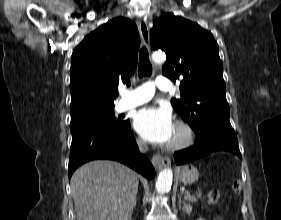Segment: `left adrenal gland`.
<instances>
[{"label": "left adrenal gland", "instance_id": "obj_1", "mask_svg": "<svg viewBox=\"0 0 281 220\" xmlns=\"http://www.w3.org/2000/svg\"><path fill=\"white\" fill-rule=\"evenodd\" d=\"M178 199H179V208L181 207V205H183L182 210L185 212L187 208V203L181 200V195H178Z\"/></svg>", "mask_w": 281, "mask_h": 220}]
</instances>
